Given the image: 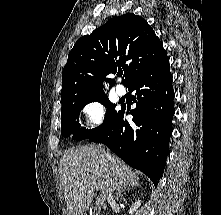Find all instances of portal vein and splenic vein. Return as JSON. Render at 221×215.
Wrapping results in <instances>:
<instances>
[{"label":"portal vein and splenic vein","mask_w":221,"mask_h":215,"mask_svg":"<svg viewBox=\"0 0 221 215\" xmlns=\"http://www.w3.org/2000/svg\"><path fill=\"white\" fill-rule=\"evenodd\" d=\"M104 203V199L102 197H97L96 205L101 206Z\"/></svg>","instance_id":"obj_1"}]
</instances>
